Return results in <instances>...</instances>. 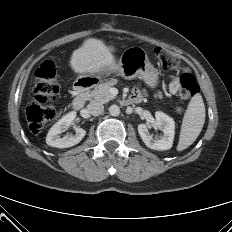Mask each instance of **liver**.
<instances>
[{
	"label": "liver",
	"mask_w": 232,
	"mask_h": 232,
	"mask_svg": "<svg viewBox=\"0 0 232 232\" xmlns=\"http://www.w3.org/2000/svg\"><path fill=\"white\" fill-rule=\"evenodd\" d=\"M69 63L75 73L82 75L102 74L117 66L106 44L95 38L86 39L82 46L74 50Z\"/></svg>",
	"instance_id": "obj_1"
}]
</instances>
